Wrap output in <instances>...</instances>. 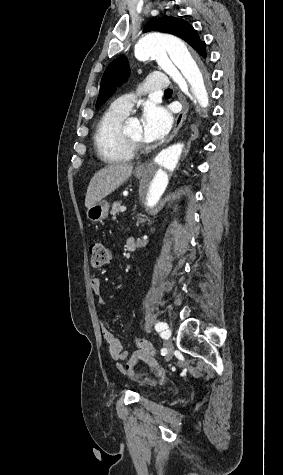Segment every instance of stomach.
<instances>
[{
    "label": "stomach",
    "mask_w": 283,
    "mask_h": 475,
    "mask_svg": "<svg viewBox=\"0 0 283 475\" xmlns=\"http://www.w3.org/2000/svg\"><path fill=\"white\" fill-rule=\"evenodd\" d=\"M150 170L147 168L146 172H137L135 170L134 176L135 178H142V176H148ZM109 204L107 200H102V202H97L95 206H91V208H88L86 214L88 220L92 222V224H97V222H102V220H105V218H108V212H109Z\"/></svg>",
    "instance_id": "stomach-1"
}]
</instances>
